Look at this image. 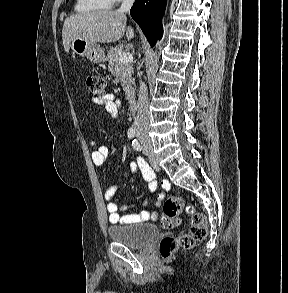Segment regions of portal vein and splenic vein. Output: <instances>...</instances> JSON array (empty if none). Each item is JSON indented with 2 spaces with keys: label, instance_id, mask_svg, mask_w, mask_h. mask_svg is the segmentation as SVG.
<instances>
[{
  "label": "portal vein and splenic vein",
  "instance_id": "1",
  "mask_svg": "<svg viewBox=\"0 0 288 293\" xmlns=\"http://www.w3.org/2000/svg\"><path fill=\"white\" fill-rule=\"evenodd\" d=\"M119 61L123 64L131 63L133 61V55L129 52H125L120 56Z\"/></svg>",
  "mask_w": 288,
  "mask_h": 293
}]
</instances>
